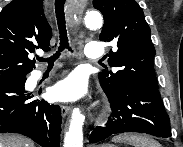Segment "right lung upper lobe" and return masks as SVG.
Returning <instances> with one entry per match:
<instances>
[{
	"label": "right lung upper lobe",
	"mask_w": 183,
	"mask_h": 147,
	"mask_svg": "<svg viewBox=\"0 0 183 147\" xmlns=\"http://www.w3.org/2000/svg\"><path fill=\"white\" fill-rule=\"evenodd\" d=\"M43 0H13L0 12V83L25 77L35 67V48L49 51L52 30Z\"/></svg>",
	"instance_id": "1"
}]
</instances>
